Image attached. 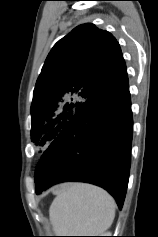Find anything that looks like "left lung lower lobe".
Returning <instances> with one entry per match:
<instances>
[{
    "mask_svg": "<svg viewBox=\"0 0 158 237\" xmlns=\"http://www.w3.org/2000/svg\"><path fill=\"white\" fill-rule=\"evenodd\" d=\"M133 119L128 78L93 96L44 152L36 193L65 181L106 189L123 206L131 162Z\"/></svg>",
    "mask_w": 158,
    "mask_h": 237,
    "instance_id": "0a47b994",
    "label": "left lung lower lobe"
}]
</instances>
